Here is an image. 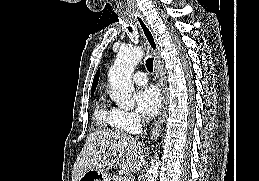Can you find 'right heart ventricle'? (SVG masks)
I'll list each match as a JSON object with an SVG mask.
<instances>
[{"label": "right heart ventricle", "instance_id": "e07e8e85", "mask_svg": "<svg viewBox=\"0 0 259 181\" xmlns=\"http://www.w3.org/2000/svg\"><path fill=\"white\" fill-rule=\"evenodd\" d=\"M95 121L98 126L113 130H122L115 108L109 107L103 101H100L95 109Z\"/></svg>", "mask_w": 259, "mask_h": 181}]
</instances>
